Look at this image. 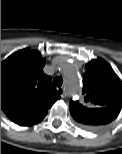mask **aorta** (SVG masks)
I'll return each mask as SVG.
<instances>
[{
	"label": "aorta",
	"mask_w": 122,
	"mask_h": 154,
	"mask_svg": "<svg viewBox=\"0 0 122 154\" xmlns=\"http://www.w3.org/2000/svg\"><path fill=\"white\" fill-rule=\"evenodd\" d=\"M62 72L65 77L67 89L71 94L80 92L81 82L80 76L78 75V70L75 65L71 62H64L62 67Z\"/></svg>",
	"instance_id": "762f6f07"
}]
</instances>
